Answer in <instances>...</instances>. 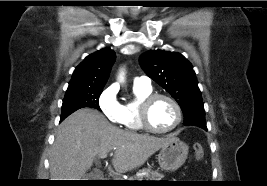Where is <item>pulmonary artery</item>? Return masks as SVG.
Returning <instances> with one entry per match:
<instances>
[{"instance_id":"obj_1","label":"pulmonary artery","mask_w":267,"mask_h":186,"mask_svg":"<svg viewBox=\"0 0 267 186\" xmlns=\"http://www.w3.org/2000/svg\"><path fill=\"white\" fill-rule=\"evenodd\" d=\"M134 84L145 86V87H151L150 79L148 77H145V76L135 78Z\"/></svg>"}]
</instances>
